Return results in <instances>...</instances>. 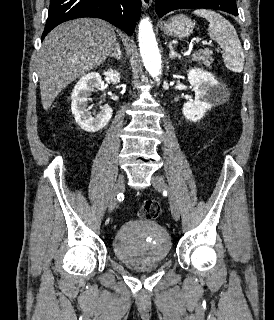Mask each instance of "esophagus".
I'll list each match as a JSON object with an SVG mask.
<instances>
[{"label":"esophagus","mask_w":274,"mask_h":320,"mask_svg":"<svg viewBox=\"0 0 274 320\" xmlns=\"http://www.w3.org/2000/svg\"><path fill=\"white\" fill-rule=\"evenodd\" d=\"M144 8H149L153 0H141Z\"/></svg>","instance_id":"esophagus-1"}]
</instances>
